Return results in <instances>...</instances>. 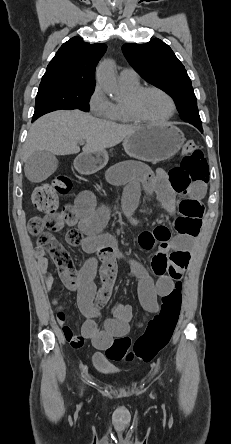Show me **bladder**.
<instances>
[{
	"label": "bladder",
	"instance_id": "obj_1",
	"mask_svg": "<svg viewBox=\"0 0 231 444\" xmlns=\"http://www.w3.org/2000/svg\"><path fill=\"white\" fill-rule=\"evenodd\" d=\"M93 363L96 370L101 374H112L115 371L114 366L110 360L101 353H96L93 357Z\"/></svg>",
	"mask_w": 231,
	"mask_h": 444
}]
</instances>
